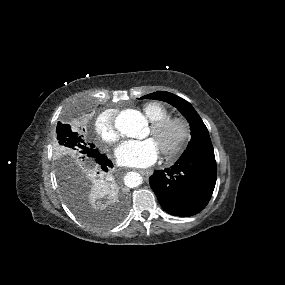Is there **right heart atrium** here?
I'll use <instances>...</instances> for the list:
<instances>
[{
	"instance_id": "right-heart-atrium-1",
	"label": "right heart atrium",
	"mask_w": 285,
	"mask_h": 285,
	"mask_svg": "<svg viewBox=\"0 0 285 285\" xmlns=\"http://www.w3.org/2000/svg\"><path fill=\"white\" fill-rule=\"evenodd\" d=\"M115 119V113L108 110L100 113L94 121V131L102 143L106 145H112L120 139Z\"/></svg>"
}]
</instances>
